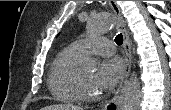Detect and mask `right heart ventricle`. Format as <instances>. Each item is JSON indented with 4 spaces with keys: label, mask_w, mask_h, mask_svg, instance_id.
Wrapping results in <instances>:
<instances>
[{
    "label": "right heart ventricle",
    "mask_w": 171,
    "mask_h": 110,
    "mask_svg": "<svg viewBox=\"0 0 171 110\" xmlns=\"http://www.w3.org/2000/svg\"><path fill=\"white\" fill-rule=\"evenodd\" d=\"M82 55L72 44L62 49L53 60L48 76V86L56 100L65 103H76L81 100L73 86V75Z\"/></svg>",
    "instance_id": "right-heart-ventricle-1"
}]
</instances>
